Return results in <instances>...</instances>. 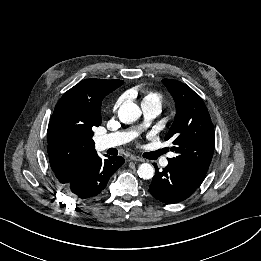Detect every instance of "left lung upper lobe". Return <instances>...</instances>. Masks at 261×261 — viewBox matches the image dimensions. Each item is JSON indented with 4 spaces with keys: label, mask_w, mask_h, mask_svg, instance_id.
Listing matches in <instances>:
<instances>
[{
    "label": "left lung upper lobe",
    "mask_w": 261,
    "mask_h": 261,
    "mask_svg": "<svg viewBox=\"0 0 261 261\" xmlns=\"http://www.w3.org/2000/svg\"><path fill=\"white\" fill-rule=\"evenodd\" d=\"M163 84L174 98L175 120L165 136L172 140L177 155L168 164L177 168L192 184L200 186L214 151V129L202 98L186 84L164 79Z\"/></svg>",
    "instance_id": "5c2ea615"
}]
</instances>
